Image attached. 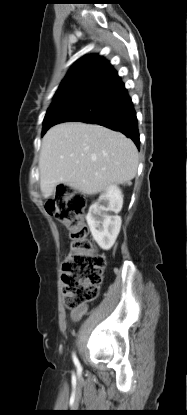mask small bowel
I'll use <instances>...</instances> for the list:
<instances>
[{"label": "small bowel", "instance_id": "obj_1", "mask_svg": "<svg viewBox=\"0 0 187 415\" xmlns=\"http://www.w3.org/2000/svg\"><path fill=\"white\" fill-rule=\"evenodd\" d=\"M86 312V307L85 306H81L78 309H75L71 312V318L74 321H77L78 319H80L82 317V315Z\"/></svg>", "mask_w": 187, "mask_h": 415}]
</instances>
